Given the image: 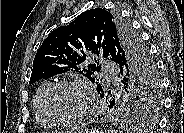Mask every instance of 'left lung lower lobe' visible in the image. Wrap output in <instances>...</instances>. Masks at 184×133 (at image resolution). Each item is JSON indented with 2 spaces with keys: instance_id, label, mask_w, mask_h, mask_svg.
<instances>
[{
  "instance_id": "1",
  "label": "left lung lower lobe",
  "mask_w": 184,
  "mask_h": 133,
  "mask_svg": "<svg viewBox=\"0 0 184 133\" xmlns=\"http://www.w3.org/2000/svg\"><path fill=\"white\" fill-rule=\"evenodd\" d=\"M119 70H120V68H119ZM121 74V73H120ZM119 74V77L121 78V75ZM121 84H123L124 85V80L122 79L121 80V82H120ZM106 90H104V91H102L101 93H100V96L103 98L104 96H106ZM107 94H109V92L107 93ZM107 98V97H106ZM108 107H109V112L110 113H113L112 112V104H109L108 105ZM107 112V111H106ZM128 118V117H127ZM128 119H130L131 121H132V123H137V121H140V119H142V118H128Z\"/></svg>"
}]
</instances>
